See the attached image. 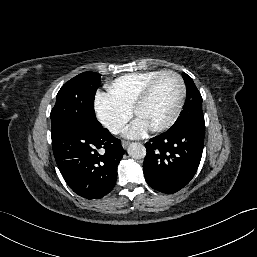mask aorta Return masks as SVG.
I'll list each match as a JSON object with an SVG mask.
<instances>
[{
  "mask_svg": "<svg viewBox=\"0 0 257 257\" xmlns=\"http://www.w3.org/2000/svg\"><path fill=\"white\" fill-rule=\"evenodd\" d=\"M128 154L134 159H142L146 156V148L141 143H131L128 147Z\"/></svg>",
  "mask_w": 257,
  "mask_h": 257,
  "instance_id": "obj_1",
  "label": "aorta"
}]
</instances>
